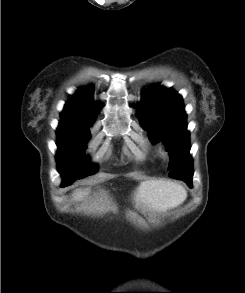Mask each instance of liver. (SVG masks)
Instances as JSON below:
<instances>
[{
    "label": "liver",
    "mask_w": 245,
    "mask_h": 293,
    "mask_svg": "<svg viewBox=\"0 0 245 293\" xmlns=\"http://www.w3.org/2000/svg\"><path fill=\"white\" fill-rule=\"evenodd\" d=\"M82 190L75 192L76 199L84 196ZM187 197L186 190L178 183L166 180H148L141 182L137 192V201L156 211H166L182 204Z\"/></svg>",
    "instance_id": "1"
}]
</instances>
